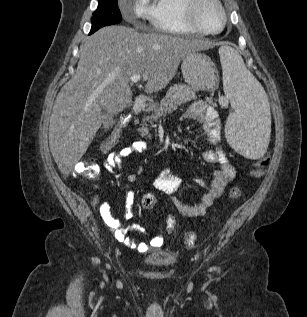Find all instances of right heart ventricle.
<instances>
[{"mask_svg":"<svg viewBox=\"0 0 307 317\" xmlns=\"http://www.w3.org/2000/svg\"><path fill=\"white\" fill-rule=\"evenodd\" d=\"M185 0H156L152 25L156 31L198 35L186 17Z\"/></svg>","mask_w":307,"mask_h":317,"instance_id":"right-heart-ventricle-1","label":"right heart ventricle"}]
</instances>
